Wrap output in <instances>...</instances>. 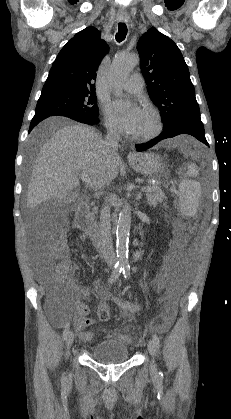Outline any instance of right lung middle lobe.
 <instances>
[{"mask_svg": "<svg viewBox=\"0 0 231 419\" xmlns=\"http://www.w3.org/2000/svg\"><path fill=\"white\" fill-rule=\"evenodd\" d=\"M96 103L94 91L59 85L46 86L42 89L35 114L93 121L99 115Z\"/></svg>", "mask_w": 231, "mask_h": 419, "instance_id": "obj_1", "label": "right lung middle lobe"}]
</instances>
